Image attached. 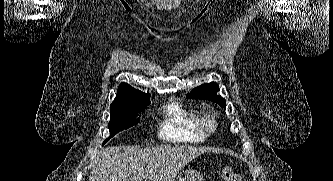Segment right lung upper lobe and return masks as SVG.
<instances>
[{"label":"right lung upper lobe","mask_w":333,"mask_h":181,"mask_svg":"<svg viewBox=\"0 0 333 181\" xmlns=\"http://www.w3.org/2000/svg\"><path fill=\"white\" fill-rule=\"evenodd\" d=\"M150 95L132 88L127 83L118 87V94L110 105L111 112L129 109L133 107L149 105Z\"/></svg>","instance_id":"1"}]
</instances>
